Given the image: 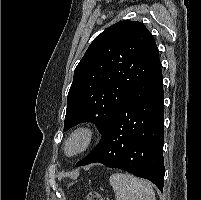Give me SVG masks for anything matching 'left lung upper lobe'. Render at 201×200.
I'll list each match as a JSON object with an SVG mask.
<instances>
[{"label":"left lung upper lobe","instance_id":"left-lung-upper-lobe-1","mask_svg":"<svg viewBox=\"0 0 201 200\" xmlns=\"http://www.w3.org/2000/svg\"><path fill=\"white\" fill-rule=\"evenodd\" d=\"M152 34L137 21H120L99 34L74 71L64 131L93 122L101 132L118 104L159 61Z\"/></svg>","mask_w":201,"mask_h":200}]
</instances>
